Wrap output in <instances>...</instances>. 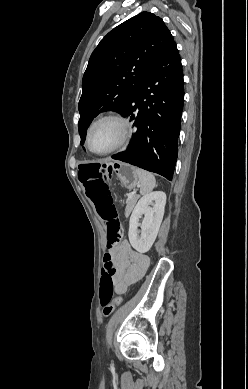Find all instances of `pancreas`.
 <instances>
[{
	"mask_svg": "<svg viewBox=\"0 0 248 389\" xmlns=\"http://www.w3.org/2000/svg\"><path fill=\"white\" fill-rule=\"evenodd\" d=\"M138 198H139L138 195H133V197L129 199V201L127 203V206H126V209H125V215H129L131 213V211H132L133 207L135 206Z\"/></svg>",
	"mask_w": 248,
	"mask_h": 389,
	"instance_id": "pancreas-1",
	"label": "pancreas"
}]
</instances>
